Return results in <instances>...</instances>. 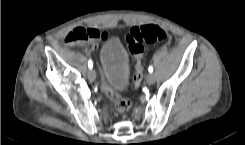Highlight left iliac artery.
<instances>
[{"mask_svg": "<svg viewBox=\"0 0 245 145\" xmlns=\"http://www.w3.org/2000/svg\"><path fill=\"white\" fill-rule=\"evenodd\" d=\"M148 71H149L150 73H152V72H153V67H152V66H149V67H148Z\"/></svg>", "mask_w": 245, "mask_h": 145, "instance_id": "obj_1", "label": "left iliac artery"}]
</instances>
